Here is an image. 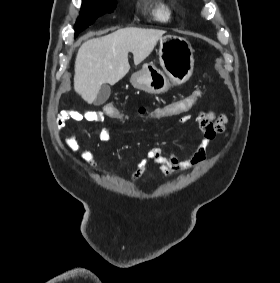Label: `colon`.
<instances>
[{
  "instance_id": "obj_1",
  "label": "colon",
  "mask_w": 280,
  "mask_h": 283,
  "mask_svg": "<svg viewBox=\"0 0 280 283\" xmlns=\"http://www.w3.org/2000/svg\"><path fill=\"white\" fill-rule=\"evenodd\" d=\"M203 88L198 90H191L189 94H184V97L174 99L173 103H166L157 105L153 108L152 114H141L140 122L148 123L149 119L153 122H164L165 119H174L175 116H182V112H193L195 105L201 102ZM121 103H104L103 116H110V119H123L125 115V108H117ZM78 112L77 110H70L60 115L61 118H68L69 114ZM126 119H138V114H126Z\"/></svg>"
}]
</instances>
